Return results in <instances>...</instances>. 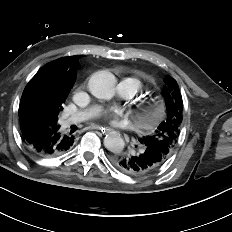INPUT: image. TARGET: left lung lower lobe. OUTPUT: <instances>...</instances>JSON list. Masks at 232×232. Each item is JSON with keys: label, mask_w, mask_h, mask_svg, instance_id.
<instances>
[{"label": "left lung lower lobe", "mask_w": 232, "mask_h": 232, "mask_svg": "<svg viewBox=\"0 0 232 232\" xmlns=\"http://www.w3.org/2000/svg\"><path fill=\"white\" fill-rule=\"evenodd\" d=\"M166 159L160 151L141 146L134 155L115 156L113 163L119 170L126 174L143 176L156 171L163 165Z\"/></svg>", "instance_id": "1"}]
</instances>
